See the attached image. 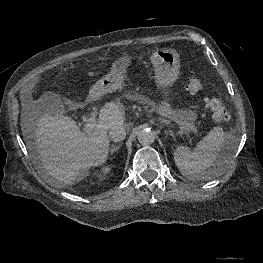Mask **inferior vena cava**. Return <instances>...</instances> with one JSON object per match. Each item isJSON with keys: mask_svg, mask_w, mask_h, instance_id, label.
Returning a JSON list of instances; mask_svg holds the SVG:
<instances>
[{"mask_svg": "<svg viewBox=\"0 0 263 263\" xmlns=\"http://www.w3.org/2000/svg\"><path fill=\"white\" fill-rule=\"evenodd\" d=\"M126 137V130L123 126H113L109 131V138L114 142L124 140Z\"/></svg>", "mask_w": 263, "mask_h": 263, "instance_id": "602c4592", "label": "inferior vena cava"}]
</instances>
